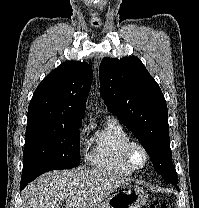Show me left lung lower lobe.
<instances>
[{
  "instance_id": "1",
  "label": "left lung lower lobe",
  "mask_w": 199,
  "mask_h": 208,
  "mask_svg": "<svg viewBox=\"0 0 199 208\" xmlns=\"http://www.w3.org/2000/svg\"><path fill=\"white\" fill-rule=\"evenodd\" d=\"M177 182H178V180H175V181H172V182H168L170 185H175V186H177ZM177 189H178V187H177Z\"/></svg>"
}]
</instances>
